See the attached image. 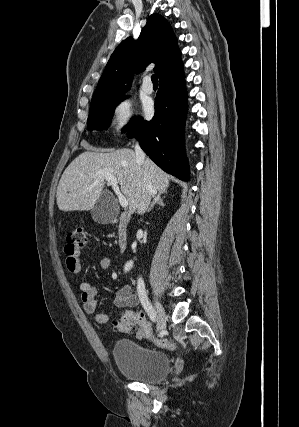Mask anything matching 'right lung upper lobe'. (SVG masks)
Returning <instances> with one entry per match:
<instances>
[{
	"label": "right lung upper lobe",
	"mask_w": 299,
	"mask_h": 427,
	"mask_svg": "<svg viewBox=\"0 0 299 427\" xmlns=\"http://www.w3.org/2000/svg\"><path fill=\"white\" fill-rule=\"evenodd\" d=\"M180 54L168 21L161 15L152 14L137 41L129 37L114 50L92 101L128 91L133 79L132 70L143 71L150 63L156 64L154 71L159 80L182 70Z\"/></svg>",
	"instance_id": "obj_1"
}]
</instances>
